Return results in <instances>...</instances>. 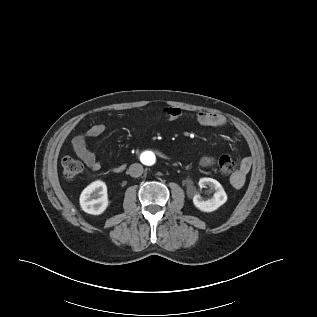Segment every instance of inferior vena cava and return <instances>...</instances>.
<instances>
[{"instance_id":"inferior-vena-cava-1","label":"inferior vena cava","mask_w":317,"mask_h":317,"mask_svg":"<svg viewBox=\"0 0 317 317\" xmlns=\"http://www.w3.org/2000/svg\"><path fill=\"white\" fill-rule=\"evenodd\" d=\"M143 166L139 163H134L132 165H130L129 169H128V174L132 177H139L142 175L143 173Z\"/></svg>"}]
</instances>
